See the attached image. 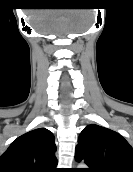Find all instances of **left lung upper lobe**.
<instances>
[{
	"label": "left lung upper lobe",
	"instance_id": "5c2ea615",
	"mask_svg": "<svg viewBox=\"0 0 133 172\" xmlns=\"http://www.w3.org/2000/svg\"><path fill=\"white\" fill-rule=\"evenodd\" d=\"M76 160L89 168L84 172H133V148L117 132L91 124L78 139Z\"/></svg>",
	"mask_w": 133,
	"mask_h": 172
}]
</instances>
